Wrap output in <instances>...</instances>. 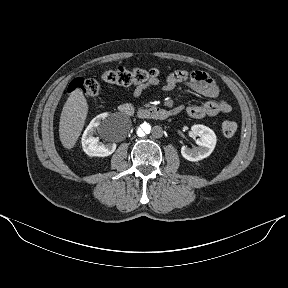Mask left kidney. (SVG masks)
<instances>
[{
	"instance_id": "obj_1",
	"label": "left kidney",
	"mask_w": 288,
	"mask_h": 288,
	"mask_svg": "<svg viewBox=\"0 0 288 288\" xmlns=\"http://www.w3.org/2000/svg\"><path fill=\"white\" fill-rule=\"evenodd\" d=\"M191 130L195 135L200 137L196 140L198 147L190 149L182 146L181 154L189 161H199L208 157L213 152L217 141L216 135L209 127L200 124L193 125Z\"/></svg>"
}]
</instances>
